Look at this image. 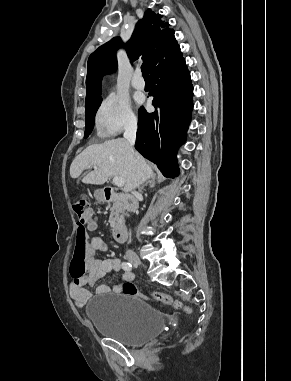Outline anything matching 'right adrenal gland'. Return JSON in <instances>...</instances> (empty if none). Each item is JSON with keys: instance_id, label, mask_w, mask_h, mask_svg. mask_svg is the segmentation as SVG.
<instances>
[{"instance_id": "obj_1", "label": "right adrenal gland", "mask_w": 291, "mask_h": 381, "mask_svg": "<svg viewBox=\"0 0 291 381\" xmlns=\"http://www.w3.org/2000/svg\"><path fill=\"white\" fill-rule=\"evenodd\" d=\"M145 186L154 187V186H155V176L151 177L148 181H146L145 183H143V184L139 187V191H141Z\"/></svg>"}]
</instances>
